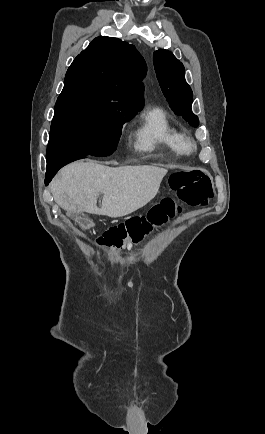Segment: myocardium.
<instances>
[{"label": "myocardium", "instance_id": "1", "mask_svg": "<svg viewBox=\"0 0 265 434\" xmlns=\"http://www.w3.org/2000/svg\"><path fill=\"white\" fill-rule=\"evenodd\" d=\"M182 150L187 156L195 155L199 151V144L195 139L185 136L182 139Z\"/></svg>", "mask_w": 265, "mask_h": 434}]
</instances>
